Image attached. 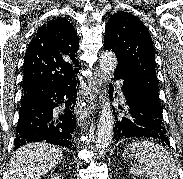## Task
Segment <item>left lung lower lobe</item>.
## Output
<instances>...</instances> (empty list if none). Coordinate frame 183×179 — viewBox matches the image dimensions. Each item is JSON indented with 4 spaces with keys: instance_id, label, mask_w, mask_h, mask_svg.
<instances>
[{
    "instance_id": "0a47b994",
    "label": "left lung lower lobe",
    "mask_w": 183,
    "mask_h": 179,
    "mask_svg": "<svg viewBox=\"0 0 183 179\" xmlns=\"http://www.w3.org/2000/svg\"><path fill=\"white\" fill-rule=\"evenodd\" d=\"M114 78L123 80L122 92L127 100V117H115L114 143L125 138L143 137L170 146L162 115L147 104L136 85L122 72H115Z\"/></svg>"
}]
</instances>
